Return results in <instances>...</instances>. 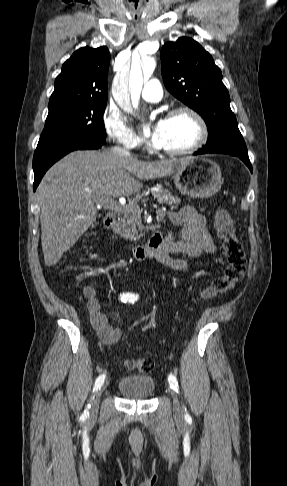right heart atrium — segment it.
<instances>
[{
	"instance_id": "d8ad5b80",
	"label": "right heart atrium",
	"mask_w": 287,
	"mask_h": 486,
	"mask_svg": "<svg viewBox=\"0 0 287 486\" xmlns=\"http://www.w3.org/2000/svg\"><path fill=\"white\" fill-rule=\"evenodd\" d=\"M106 134L120 147L133 151L140 147L141 140L119 114L106 110L103 114Z\"/></svg>"
}]
</instances>
